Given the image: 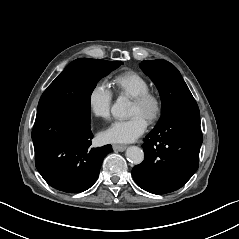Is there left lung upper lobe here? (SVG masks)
<instances>
[{
  "label": "left lung upper lobe",
  "mask_w": 239,
  "mask_h": 239,
  "mask_svg": "<svg viewBox=\"0 0 239 239\" xmlns=\"http://www.w3.org/2000/svg\"><path fill=\"white\" fill-rule=\"evenodd\" d=\"M140 67L152 79L160 92L162 115L157 125L161 124L172 112L197 105L174 65L165 60H147L142 61Z\"/></svg>",
  "instance_id": "5c2ea615"
}]
</instances>
